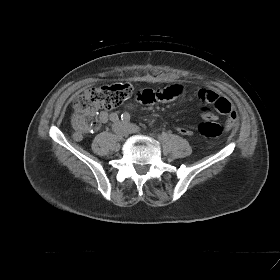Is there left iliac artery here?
Instances as JSON below:
<instances>
[{"label": "left iliac artery", "mask_w": 280, "mask_h": 280, "mask_svg": "<svg viewBox=\"0 0 280 280\" xmlns=\"http://www.w3.org/2000/svg\"><path fill=\"white\" fill-rule=\"evenodd\" d=\"M121 120H122L123 122H129V121H130V115H129V113H127V112L123 113V114L121 115Z\"/></svg>", "instance_id": "1"}]
</instances>
